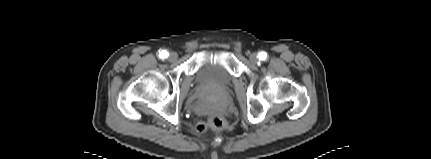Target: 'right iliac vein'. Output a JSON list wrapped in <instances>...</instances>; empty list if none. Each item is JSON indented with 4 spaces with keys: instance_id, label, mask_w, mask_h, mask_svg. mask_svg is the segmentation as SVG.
<instances>
[{
    "instance_id": "63e3f726",
    "label": "right iliac vein",
    "mask_w": 431,
    "mask_h": 159,
    "mask_svg": "<svg viewBox=\"0 0 431 159\" xmlns=\"http://www.w3.org/2000/svg\"><path fill=\"white\" fill-rule=\"evenodd\" d=\"M177 58H178V55H177V53H175V52H172V53L170 54V56H169V59H170L171 61H175Z\"/></svg>"
}]
</instances>
